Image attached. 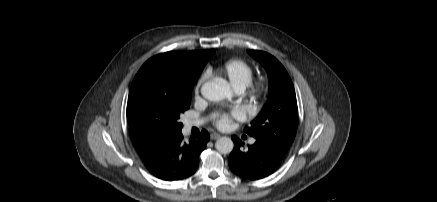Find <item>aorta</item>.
<instances>
[{"instance_id":"1","label":"aorta","mask_w":437,"mask_h":202,"mask_svg":"<svg viewBox=\"0 0 437 202\" xmlns=\"http://www.w3.org/2000/svg\"><path fill=\"white\" fill-rule=\"evenodd\" d=\"M201 94L209 101H221L231 97L229 84L223 79L204 83ZM215 147L220 153L228 154L232 152L234 143L229 137H221L216 141Z\"/></svg>"}]
</instances>
